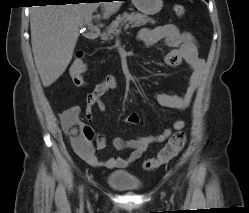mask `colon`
Masks as SVG:
<instances>
[{
	"mask_svg": "<svg viewBox=\"0 0 249 213\" xmlns=\"http://www.w3.org/2000/svg\"><path fill=\"white\" fill-rule=\"evenodd\" d=\"M174 12L178 16H183L185 14L184 6L176 4L173 7ZM87 69V64L84 60V57L81 53H77L70 66L71 78L75 85H83L84 79L83 74ZM186 143V134L184 131H177L174 133L166 145L161 149L156 158L149 159L145 162L144 167L147 170H154L169 162L173 157H175L184 147ZM76 144L79 146L82 143L80 142V137H77Z\"/></svg>",
	"mask_w": 249,
	"mask_h": 213,
	"instance_id": "5ec220e1",
	"label": "colon"
}]
</instances>
